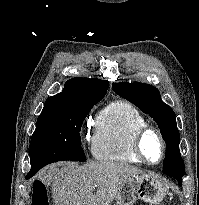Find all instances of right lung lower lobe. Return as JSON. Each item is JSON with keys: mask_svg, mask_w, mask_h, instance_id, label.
Returning <instances> with one entry per match:
<instances>
[{"mask_svg": "<svg viewBox=\"0 0 199 205\" xmlns=\"http://www.w3.org/2000/svg\"><path fill=\"white\" fill-rule=\"evenodd\" d=\"M31 177H32V175H26V179H29Z\"/></svg>", "mask_w": 199, "mask_h": 205, "instance_id": "1", "label": "right lung lower lobe"}]
</instances>
